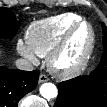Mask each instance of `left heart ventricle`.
I'll return each mask as SVG.
<instances>
[{"label": "left heart ventricle", "mask_w": 107, "mask_h": 107, "mask_svg": "<svg viewBox=\"0 0 107 107\" xmlns=\"http://www.w3.org/2000/svg\"><path fill=\"white\" fill-rule=\"evenodd\" d=\"M89 40V30L82 26L72 37L68 48L58 61V66L67 68L75 64L82 56Z\"/></svg>", "instance_id": "1"}]
</instances>
